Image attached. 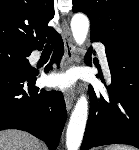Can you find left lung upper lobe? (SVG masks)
Instances as JSON below:
<instances>
[{"label":"left lung upper lobe","mask_w":139,"mask_h":150,"mask_svg":"<svg viewBox=\"0 0 139 150\" xmlns=\"http://www.w3.org/2000/svg\"><path fill=\"white\" fill-rule=\"evenodd\" d=\"M73 11L88 16L91 37L107 50L139 35V0H73Z\"/></svg>","instance_id":"1"}]
</instances>
